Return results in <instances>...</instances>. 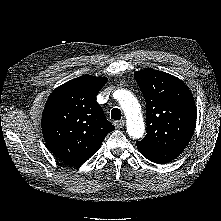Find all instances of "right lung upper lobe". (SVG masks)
<instances>
[{
  "instance_id": "cb5924a9",
  "label": "right lung upper lobe",
  "mask_w": 221,
  "mask_h": 221,
  "mask_svg": "<svg viewBox=\"0 0 221 221\" xmlns=\"http://www.w3.org/2000/svg\"><path fill=\"white\" fill-rule=\"evenodd\" d=\"M107 78L83 75L56 88L42 114V133L51 152L68 165L86 162L115 129L96 102Z\"/></svg>"
}]
</instances>
